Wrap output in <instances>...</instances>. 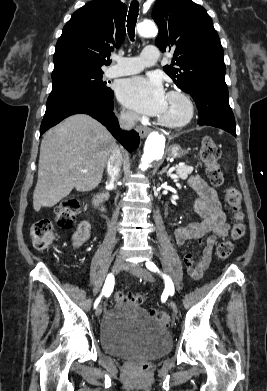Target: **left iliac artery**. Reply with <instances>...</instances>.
<instances>
[{
  "mask_svg": "<svg viewBox=\"0 0 267 391\" xmlns=\"http://www.w3.org/2000/svg\"><path fill=\"white\" fill-rule=\"evenodd\" d=\"M146 267L150 271L159 272L158 268L156 267V265L153 262H147L146 263ZM163 278L165 280V291L168 294L173 295L174 294V285L172 283V280L168 276H166V275H163Z\"/></svg>",
  "mask_w": 267,
  "mask_h": 391,
  "instance_id": "1",
  "label": "left iliac artery"
}]
</instances>
